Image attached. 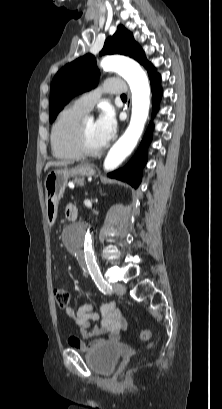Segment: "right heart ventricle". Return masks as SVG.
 Returning <instances> with one entry per match:
<instances>
[{
    "mask_svg": "<svg viewBox=\"0 0 222 409\" xmlns=\"http://www.w3.org/2000/svg\"><path fill=\"white\" fill-rule=\"evenodd\" d=\"M87 112L76 103L66 106L57 116L51 130V149L60 160H75L81 155L74 147L78 123Z\"/></svg>",
    "mask_w": 222,
    "mask_h": 409,
    "instance_id": "1",
    "label": "right heart ventricle"
}]
</instances>
